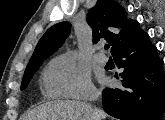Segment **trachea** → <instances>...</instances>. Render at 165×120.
I'll return each instance as SVG.
<instances>
[{
  "label": "trachea",
  "instance_id": "3493384b",
  "mask_svg": "<svg viewBox=\"0 0 165 120\" xmlns=\"http://www.w3.org/2000/svg\"><path fill=\"white\" fill-rule=\"evenodd\" d=\"M104 48H105V50H108V49H109V45L106 44V45L104 46Z\"/></svg>",
  "mask_w": 165,
  "mask_h": 120
}]
</instances>
